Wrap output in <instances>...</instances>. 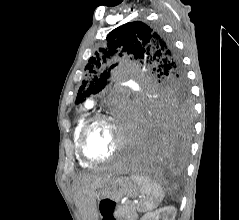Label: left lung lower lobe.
I'll list each match as a JSON object with an SVG mask.
<instances>
[{
	"label": "left lung lower lobe",
	"mask_w": 239,
	"mask_h": 220,
	"mask_svg": "<svg viewBox=\"0 0 239 220\" xmlns=\"http://www.w3.org/2000/svg\"><path fill=\"white\" fill-rule=\"evenodd\" d=\"M135 144L128 162L149 171L159 166L180 165L188 151L191 124L177 114L145 108L133 114Z\"/></svg>",
	"instance_id": "0a47b994"
}]
</instances>
